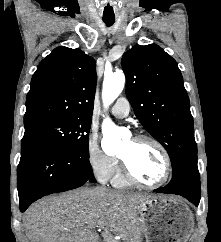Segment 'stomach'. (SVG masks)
<instances>
[{"label":"stomach","instance_id":"obj_1","mask_svg":"<svg viewBox=\"0 0 221 242\" xmlns=\"http://www.w3.org/2000/svg\"><path fill=\"white\" fill-rule=\"evenodd\" d=\"M145 242H187L194 227L193 214L173 196H152L138 207Z\"/></svg>","mask_w":221,"mask_h":242}]
</instances>
